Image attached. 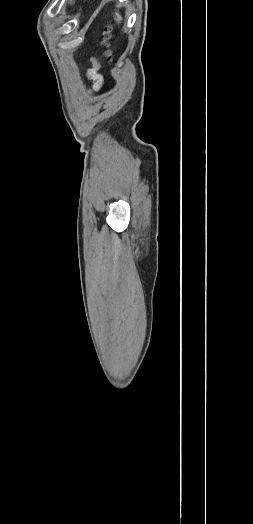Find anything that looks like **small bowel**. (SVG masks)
Wrapping results in <instances>:
<instances>
[{"mask_svg": "<svg viewBox=\"0 0 253 524\" xmlns=\"http://www.w3.org/2000/svg\"><path fill=\"white\" fill-rule=\"evenodd\" d=\"M92 78L94 79L95 83H96V87L99 89L101 86H102V79L98 73V71L96 69H93L91 72H90Z\"/></svg>", "mask_w": 253, "mask_h": 524, "instance_id": "obj_1", "label": "small bowel"}]
</instances>
